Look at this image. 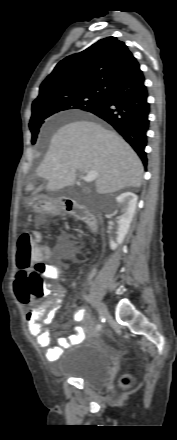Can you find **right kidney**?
I'll return each mask as SVG.
<instances>
[{"label":"right kidney","instance_id":"ca27d5eb","mask_svg":"<svg viewBox=\"0 0 177 440\" xmlns=\"http://www.w3.org/2000/svg\"><path fill=\"white\" fill-rule=\"evenodd\" d=\"M137 205V195L132 192H125L116 197L115 200V213L119 208L122 215L118 217V223L120 224L117 229L116 242L110 241V247L115 250L119 244H121L128 233L131 221L134 217ZM114 213V214H115Z\"/></svg>","mask_w":177,"mask_h":440}]
</instances>
